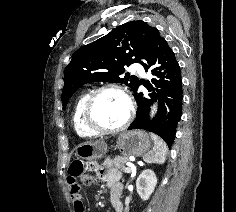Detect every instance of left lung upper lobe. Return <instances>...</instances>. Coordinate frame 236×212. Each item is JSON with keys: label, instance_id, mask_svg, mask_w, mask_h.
Returning <instances> with one entry per match:
<instances>
[{"label": "left lung upper lobe", "instance_id": "obj_1", "mask_svg": "<svg viewBox=\"0 0 236 212\" xmlns=\"http://www.w3.org/2000/svg\"><path fill=\"white\" fill-rule=\"evenodd\" d=\"M153 28L144 21H130L81 47L64 72L63 109L75 91L85 83H124L134 91L140 82L136 76L125 73V67L142 62Z\"/></svg>", "mask_w": 236, "mask_h": 212}]
</instances>
